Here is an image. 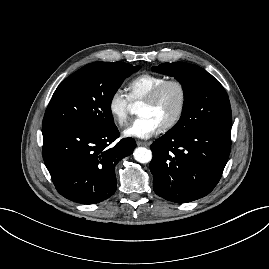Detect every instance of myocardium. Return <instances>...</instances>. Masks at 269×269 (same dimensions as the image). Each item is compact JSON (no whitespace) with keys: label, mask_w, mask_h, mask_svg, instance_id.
<instances>
[{"label":"myocardium","mask_w":269,"mask_h":269,"mask_svg":"<svg viewBox=\"0 0 269 269\" xmlns=\"http://www.w3.org/2000/svg\"><path fill=\"white\" fill-rule=\"evenodd\" d=\"M176 86L179 89L180 92V105L179 108L174 115V117L166 124L161 126L162 131H168L174 128L182 119L188 102V91L186 85L179 79H168L157 85L143 100L142 103L147 105L154 104L162 92L168 87V86Z\"/></svg>","instance_id":"f54148a6"}]
</instances>
